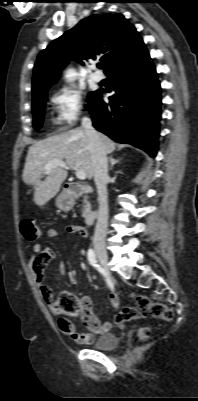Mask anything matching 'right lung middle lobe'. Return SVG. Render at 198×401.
<instances>
[{
  "mask_svg": "<svg viewBox=\"0 0 198 401\" xmlns=\"http://www.w3.org/2000/svg\"><path fill=\"white\" fill-rule=\"evenodd\" d=\"M46 93H47V91L42 92V93L38 94L37 96L33 97V101H32V110H33V118H34L33 127L35 129L41 128L42 123H43L44 108L46 105V98H47ZM98 93H99V90L96 92L90 93L88 95L89 104L87 105V108L90 107L91 103L96 98Z\"/></svg>",
  "mask_w": 198,
  "mask_h": 401,
  "instance_id": "obj_1",
  "label": "right lung middle lobe"
}]
</instances>
